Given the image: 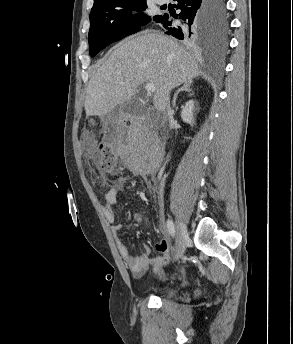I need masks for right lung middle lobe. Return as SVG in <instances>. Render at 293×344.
I'll return each instance as SVG.
<instances>
[{"label":"right lung middle lobe","mask_w":293,"mask_h":344,"mask_svg":"<svg viewBox=\"0 0 293 344\" xmlns=\"http://www.w3.org/2000/svg\"><path fill=\"white\" fill-rule=\"evenodd\" d=\"M146 0H120L92 10L90 14L89 52L93 57L109 44L140 30L151 18L143 15ZM131 10L139 13L131 14ZM160 16H153L156 20ZM215 20L221 32L226 27V11L223 0H216Z\"/></svg>","instance_id":"dd1d6c3e"}]
</instances>
